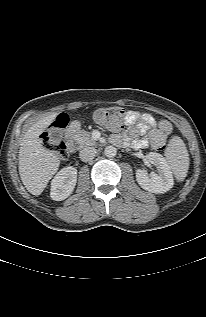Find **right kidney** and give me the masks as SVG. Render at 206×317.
Here are the masks:
<instances>
[{
    "label": "right kidney",
    "instance_id": "ca27d5eb",
    "mask_svg": "<svg viewBox=\"0 0 206 317\" xmlns=\"http://www.w3.org/2000/svg\"><path fill=\"white\" fill-rule=\"evenodd\" d=\"M77 182V169L73 166L62 168L51 181V198L61 201L70 196Z\"/></svg>",
    "mask_w": 206,
    "mask_h": 317
}]
</instances>
